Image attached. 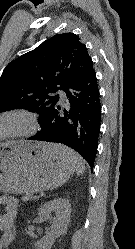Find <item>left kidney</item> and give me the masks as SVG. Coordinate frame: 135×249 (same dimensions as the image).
<instances>
[{
  "label": "left kidney",
  "instance_id": "left-kidney-1",
  "mask_svg": "<svg viewBox=\"0 0 135 249\" xmlns=\"http://www.w3.org/2000/svg\"><path fill=\"white\" fill-rule=\"evenodd\" d=\"M55 217H51V213ZM40 218L51 222L50 230L41 240L34 243L35 249H51L55 240L64 234L70 221L71 204L65 198H57L45 203L38 210Z\"/></svg>",
  "mask_w": 135,
  "mask_h": 249
}]
</instances>
